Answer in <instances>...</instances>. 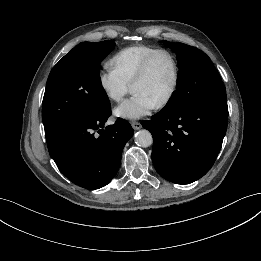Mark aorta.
<instances>
[{
	"instance_id": "obj_1",
	"label": "aorta",
	"mask_w": 261,
	"mask_h": 261,
	"mask_svg": "<svg viewBox=\"0 0 261 261\" xmlns=\"http://www.w3.org/2000/svg\"><path fill=\"white\" fill-rule=\"evenodd\" d=\"M135 143L140 147H149L153 143V137L148 130L142 129L135 134Z\"/></svg>"
}]
</instances>
